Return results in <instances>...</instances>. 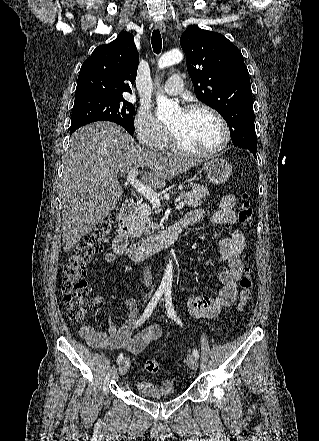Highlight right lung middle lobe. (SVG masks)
<instances>
[{"label": "right lung middle lobe", "mask_w": 319, "mask_h": 441, "mask_svg": "<svg viewBox=\"0 0 319 441\" xmlns=\"http://www.w3.org/2000/svg\"><path fill=\"white\" fill-rule=\"evenodd\" d=\"M133 113L132 103L123 97L95 96L75 99L70 129L95 121L107 120L121 125L133 135Z\"/></svg>", "instance_id": "dd1d6c3e"}]
</instances>
